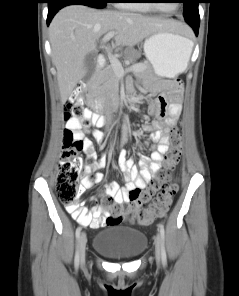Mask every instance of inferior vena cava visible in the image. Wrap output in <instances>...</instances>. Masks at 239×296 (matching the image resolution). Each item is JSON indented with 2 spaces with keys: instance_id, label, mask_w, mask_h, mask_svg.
<instances>
[{
  "instance_id": "inferior-vena-cava-1",
  "label": "inferior vena cava",
  "mask_w": 239,
  "mask_h": 296,
  "mask_svg": "<svg viewBox=\"0 0 239 296\" xmlns=\"http://www.w3.org/2000/svg\"><path fill=\"white\" fill-rule=\"evenodd\" d=\"M111 118H112L111 112L107 111V114H106L107 123L111 122Z\"/></svg>"
}]
</instances>
